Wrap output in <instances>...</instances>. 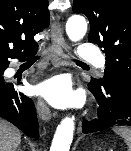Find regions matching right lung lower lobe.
I'll return each instance as SVG.
<instances>
[{"instance_id": "obj_1", "label": "right lung lower lobe", "mask_w": 131, "mask_h": 151, "mask_svg": "<svg viewBox=\"0 0 131 151\" xmlns=\"http://www.w3.org/2000/svg\"><path fill=\"white\" fill-rule=\"evenodd\" d=\"M34 53L35 51L0 59V117L11 122L27 136L38 139V121L33 101L17 92L13 84L3 78V73L10 63L9 58H21L24 61Z\"/></svg>"}]
</instances>
